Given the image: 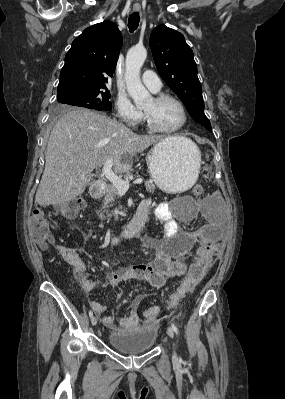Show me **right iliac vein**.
Returning <instances> with one entry per match:
<instances>
[{
	"mask_svg": "<svg viewBox=\"0 0 285 399\" xmlns=\"http://www.w3.org/2000/svg\"><path fill=\"white\" fill-rule=\"evenodd\" d=\"M91 324H92L93 326H95V325L97 324V318H96V317H92V318H91Z\"/></svg>",
	"mask_w": 285,
	"mask_h": 399,
	"instance_id": "obj_1",
	"label": "right iliac vein"
}]
</instances>
